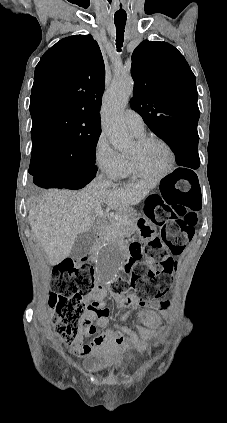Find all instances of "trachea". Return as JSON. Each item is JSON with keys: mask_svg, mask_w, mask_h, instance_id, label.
<instances>
[{"mask_svg": "<svg viewBox=\"0 0 227 423\" xmlns=\"http://www.w3.org/2000/svg\"><path fill=\"white\" fill-rule=\"evenodd\" d=\"M114 23L116 26V47H117V51L121 52V48L124 42V28L126 24V18L114 19Z\"/></svg>", "mask_w": 227, "mask_h": 423, "instance_id": "trachea-1", "label": "trachea"}]
</instances>
